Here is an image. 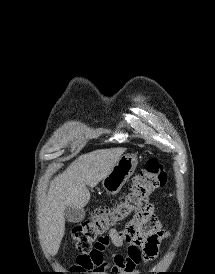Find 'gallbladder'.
<instances>
[{
  "mask_svg": "<svg viewBox=\"0 0 215 274\" xmlns=\"http://www.w3.org/2000/svg\"><path fill=\"white\" fill-rule=\"evenodd\" d=\"M65 220L71 223H79L85 217V210L83 208H75L72 206H66L64 209Z\"/></svg>",
  "mask_w": 215,
  "mask_h": 274,
  "instance_id": "gallbladder-1",
  "label": "gallbladder"
}]
</instances>
